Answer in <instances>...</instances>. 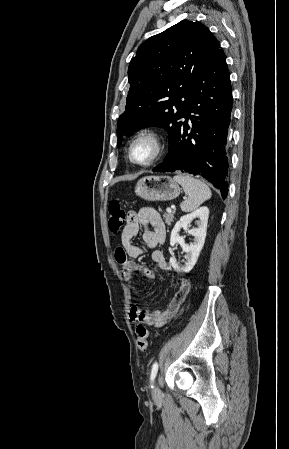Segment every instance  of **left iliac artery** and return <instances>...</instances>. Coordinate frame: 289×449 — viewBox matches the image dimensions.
I'll return each mask as SVG.
<instances>
[{
  "mask_svg": "<svg viewBox=\"0 0 289 449\" xmlns=\"http://www.w3.org/2000/svg\"><path fill=\"white\" fill-rule=\"evenodd\" d=\"M157 372H158V363L155 362V363L152 365V369H151V375H150V381H151V382H153V380L155 379V377H156V375H157ZM152 387H153V386H152Z\"/></svg>",
  "mask_w": 289,
  "mask_h": 449,
  "instance_id": "obj_1",
  "label": "left iliac artery"
}]
</instances>
